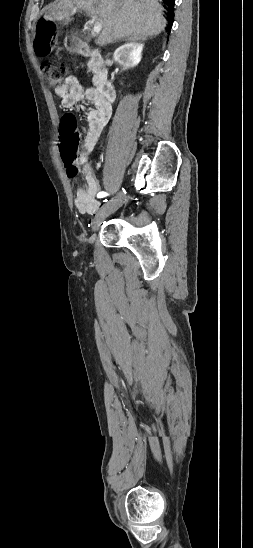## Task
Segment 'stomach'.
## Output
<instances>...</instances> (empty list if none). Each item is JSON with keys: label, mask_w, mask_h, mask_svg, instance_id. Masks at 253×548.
Wrapping results in <instances>:
<instances>
[{"label": "stomach", "mask_w": 253, "mask_h": 548, "mask_svg": "<svg viewBox=\"0 0 253 548\" xmlns=\"http://www.w3.org/2000/svg\"><path fill=\"white\" fill-rule=\"evenodd\" d=\"M66 46H67V49H69V50H74V47H73L70 43L67 44Z\"/></svg>", "instance_id": "1"}]
</instances>
